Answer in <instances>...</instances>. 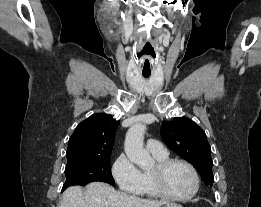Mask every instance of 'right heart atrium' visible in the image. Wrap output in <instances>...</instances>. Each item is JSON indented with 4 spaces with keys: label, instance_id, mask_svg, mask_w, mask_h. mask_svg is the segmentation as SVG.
Wrapping results in <instances>:
<instances>
[{
    "label": "right heart atrium",
    "instance_id": "d8ad5b80",
    "mask_svg": "<svg viewBox=\"0 0 261 207\" xmlns=\"http://www.w3.org/2000/svg\"><path fill=\"white\" fill-rule=\"evenodd\" d=\"M112 175L119 188L129 194H141L144 188L143 173L125 155L120 154L112 165Z\"/></svg>",
    "mask_w": 261,
    "mask_h": 207
}]
</instances>
